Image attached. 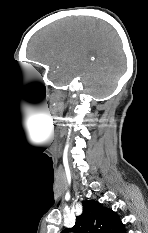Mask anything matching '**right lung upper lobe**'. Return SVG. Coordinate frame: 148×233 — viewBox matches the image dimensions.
Masks as SVG:
<instances>
[{"mask_svg": "<svg viewBox=\"0 0 148 233\" xmlns=\"http://www.w3.org/2000/svg\"><path fill=\"white\" fill-rule=\"evenodd\" d=\"M75 233H126L116 212L93 200L83 202V213L76 217ZM65 229L62 233H67Z\"/></svg>", "mask_w": 148, "mask_h": 233, "instance_id": "obj_1", "label": "right lung upper lobe"}]
</instances>
